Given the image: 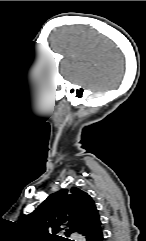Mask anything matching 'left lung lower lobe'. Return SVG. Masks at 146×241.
Instances as JSON below:
<instances>
[{
  "instance_id": "1",
  "label": "left lung lower lobe",
  "mask_w": 146,
  "mask_h": 241,
  "mask_svg": "<svg viewBox=\"0 0 146 241\" xmlns=\"http://www.w3.org/2000/svg\"><path fill=\"white\" fill-rule=\"evenodd\" d=\"M82 234L85 236L86 241H103L100 219L92 226L85 229Z\"/></svg>"
}]
</instances>
